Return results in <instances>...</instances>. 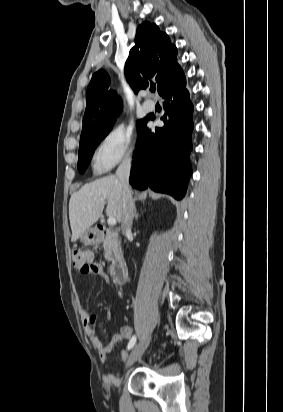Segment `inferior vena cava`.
Returning a JSON list of instances; mask_svg holds the SVG:
<instances>
[{"label": "inferior vena cava", "instance_id": "602c4592", "mask_svg": "<svg viewBox=\"0 0 283 412\" xmlns=\"http://www.w3.org/2000/svg\"><path fill=\"white\" fill-rule=\"evenodd\" d=\"M132 166V157L127 155L116 171V177L119 179L122 186V202H121V212L122 221L121 229L123 233H128L131 231L133 224V218L135 214V204L132 198V192L129 187V175Z\"/></svg>", "mask_w": 283, "mask_h": 412}]
</instances>
